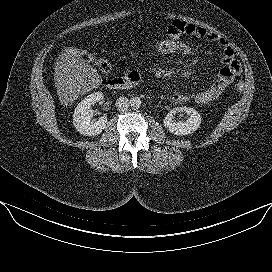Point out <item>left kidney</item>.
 <instances>
[{"label": "left kidney", "mask_w": 272, "mask_h": 272, "mask_svg": "<svg viewBox=\"0 0 272 272\" xmlns=\"http://www.w3.org/2000/svg\"><path fill=\"white\" fill-rule=\"evenodd\" d=\"M177 112H185L188 115V118L185 122L175 121L174 115ZM201 124V116L198 112L190 107H177L172 109L164 118L163 125L165 128L174 133L175 135L183 136L188 135L196 131Z\"/></svg>", "instance_id": "5707ae66"}]
</instances>
